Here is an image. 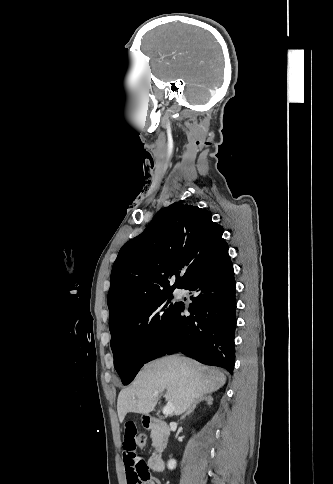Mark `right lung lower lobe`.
<instances>
[{
  "mask_svg": "<svg viewBox=\"0 0 333 484\" xmlns=\"http://www.w3.org/2000/svg\"><path fill=\"white\" fill-rule=\"evenodd\" d=\"M194 291L189 316L180 305L167 332L156 343L146 362L165 354L181 352L202 363L233 372L236 302L233 266L228 245L184 287Z\"/></svg>",
  "mask_w": 333,
  "mask_h": 484,
  "instance_id": "98d812e1",
  "label": "right lung lower lobe"
}]
</instances>
